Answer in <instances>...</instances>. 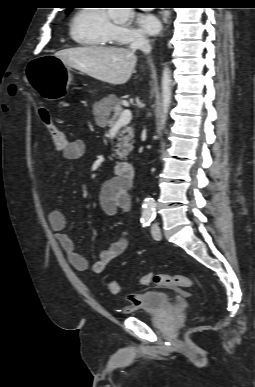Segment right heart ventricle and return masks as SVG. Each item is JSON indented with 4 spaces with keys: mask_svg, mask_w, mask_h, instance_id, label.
I'll return each instance as SVG.
<instances>
[{
    "mask_svg": "<svg viewBox=\"0 0 255 387\" xmlns=\"http://www.w3.org/2000/svg\"><path fill=\"white\" fill-rule=\"evenodd\" d=\"M113 22L107 11L100 7L78 10L69 25L71 38L82 46L104 47L112 44Z\"/></svg>",
    "mask_w": 255,
    "mask_h": 387,
    "instance_id": "1",
    "label": "right heart ventricle"
}]
</instances>
